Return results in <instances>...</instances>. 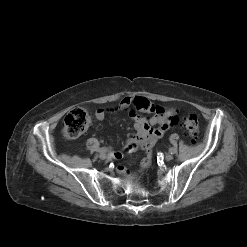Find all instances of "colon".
Masks as SVG:
<instances>
[{
    "instance_id": "5ec220e1",
    "label": "colon",
    "mask_w": 247,
    "mask_h": 247,
    "mask_svg": "<svg viewBox=\"0 0 247 247\" xmlns=\"http://www.w3.org/2000/svg\"><path fill=\"white\" fill-rule=\"evenodd\" d=\"M91 121V113L85 108H75L64 119L62 128L66 139H76L84 133ZM182 126L191 141L196 142L199 136V121L194 113L186 114L182 120Z\"/></svg>"
}]
</instances>
